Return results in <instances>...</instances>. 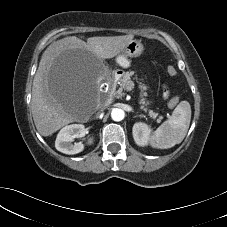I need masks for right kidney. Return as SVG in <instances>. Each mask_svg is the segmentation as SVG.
<instances>
[{"label": "right kidney", "mask_w": 227, "mask_h": 227, "mask_svg": "<svg viewBox=\"0 0 227 227\" xmlns=\"http://www.w3.org/2000/svg\"><path fill=\"white\" fill-rule=\"evenodd\" d=\"M85 134V127L82 124H72L62 128L56 138L55 147L58 151L65 154H77L84 149L82 142L72 143L74 138L82 137ZM94 138H88L87 144H93Z\"/></svg>", "instance_id": "right-kidney-1"}]
</instances>
